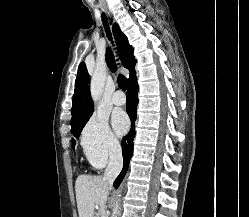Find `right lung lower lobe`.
Returning <instances> with one entry per match:
<instances>
[{
	"instance_id": "right-lung-lower-lobe-1",
	"label": "right lung lower lobe",
	"mask_w": 249,
	"mask_h": 217,
	"mask_svg": "<svg viewBox=\"0 0 249 217\" xmlns=\"http://www.w3.org/2000/svg\"><path fill=\"white\" fill-rule=\"evenodd\" d=\"M138 84L136 74L129 80L128 91L126 93V108L131 119V130L122 140V154H123V169L114 182L117 188L124 178L129 166L130 158L133 154V139L135 136L134 124L136 120L137 104H138Z\"/></svg>"
}]
</instances>
